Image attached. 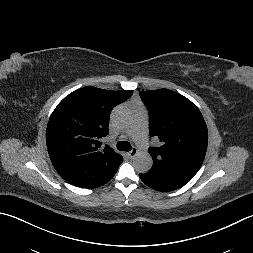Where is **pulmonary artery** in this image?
I'll return each instance as SVG.
<instances>
[{"label":"pulmonary artery","instance_id":"obj_1","mask_svg":"<svg viewBox=\"0 0 253 253\" xmlns=\"http://www.w3.org/2000/svg\"><path fill=\"white\" fill-rule=\"evenodd\" d=\"M146 116L138 119L137 122L132 126L130 134L135 138L142 148H148L149 142L146 135Z\"/></svg>","mask_w":253,"mask_h":253}]
</instances>
